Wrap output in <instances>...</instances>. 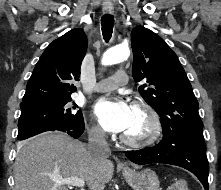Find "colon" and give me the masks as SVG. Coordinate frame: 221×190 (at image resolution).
<instances>
[{"label":"colon","mask_w":221,"mask_h":190,"mask_svg":"<svg viewBox=\"0 0 221 190\" xmlns=\"http://www.w3.org/2000/svg\"><path fill=\"white\" fill-rule=\"evenodd\" d=\"M169 190H188L186 180L180 179L175 181L169 188Z\"/></svg>","instance_id":"1"}]
</instances>
